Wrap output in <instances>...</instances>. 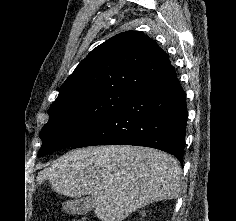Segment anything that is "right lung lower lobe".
Segmentation results:
<instances>
[{
  "mask_svg": "<svg viewBox=\"0 0 236 221\" xmlns=\"http://www.w3.org/2000/svg\"><path fill=\"white\" fill-rule=\"evenodd\" d=\"M187 117L186 94L172 68L139 89L72 148L146 146L170 153L182 164Z\"/></svg>",
  "mask_w": 236,
  "mask_h": 221,
  "instance_id": "obj_1",
  "label": "right lung lower lobe"
}]
</instances>
